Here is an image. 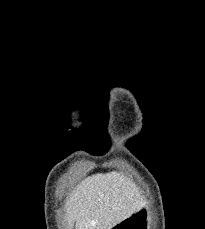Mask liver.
Returning a JSON list of instances; mask_svg holds the SVG:
<instances>
[{"label":"liver","mask_w":205,"mask_h":229,"mask_svg":"<svg viewBox=\"0 0 205 229\" xmlns=\"http://www.w3.org/2000/svg\"><path fill=\"white\" fill-rule=\"evenodd\" d=\"M131 183L116 172L86 178L65 202L69 227L111 229L136 210Z\"/></svg>","instance_id":"6515ba94"}]
</instances>
